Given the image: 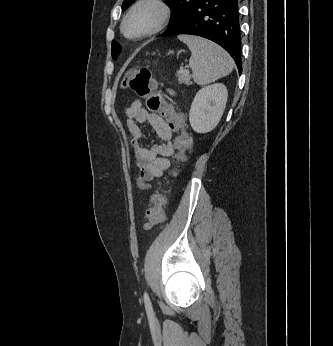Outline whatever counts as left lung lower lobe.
Here are the masks:
<instances>
[{
	"label": "left lung lower lobe",
	"instance_id": "left-lung-lower-lobe-1",
	"mask_svg": "<svg viewBox=\"0 0 333 346\" xmlns=\"http://www.w3.org/2000/svg\"><path fill=\"white\" fill-rule=\"evenodd\" d=\"M238 0H195L186 16L161 36L190 34L223 47L242 73L241 31Z\"/></svg>",
	"mask_w": 333,
	"mask_h": 346
}]
</instances>
